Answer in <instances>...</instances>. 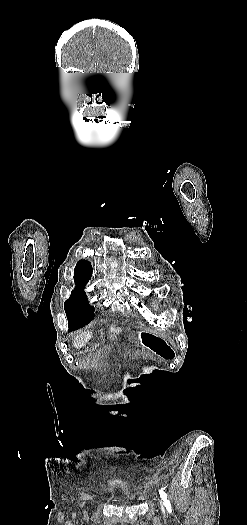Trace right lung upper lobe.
Wrapping results in <instances>:
<instances>
[{
  "label": "right lung upper lobe",
  "instance_id": "cb5924a9",
  "mask_svg": "<svg viewBox=\"0 0 247 525\" xmlns=\"http://www.w3.org/2000/svg\"><path fill=\"white\" fill-rule=\"evenodd\" d=\"M74 274H88L92 275V266L90 262L86 260H80L77 262L74 269Z\"/></svg>",
  "mask_w": 247,
  "mask_h": 525
}]
</instances>
